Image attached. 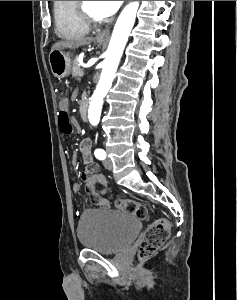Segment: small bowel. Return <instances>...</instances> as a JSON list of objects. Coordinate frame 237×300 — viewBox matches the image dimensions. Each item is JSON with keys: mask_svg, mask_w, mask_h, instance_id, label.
Instances as JSON below:
<instances>
[{"mask_svg": "<svg viewBox=\"0 0 237 300\" xmlns=\"http://www.w3.org/2000/svg\"><path fill=\"white\" fill-rule=\"evenodd\" d=\"M60 108L67 109L68 101L66 99L60 102ZM92 141L90 138H84L78 145V151L81 154L83 163L88 166L90 171H94L96 168L92 164V155H91ZM73 191L78 193L80 191V185L77 182L73 183ZM93 199L96 201L97 205L100 207H108L109 202L105 199H99L96 195H92Z\"/></svg>", "mask_w": 237, "mask_h": 300, "instance_id": "obj_1", "label": "small bowel"}]
</instances>
